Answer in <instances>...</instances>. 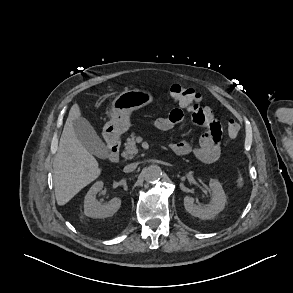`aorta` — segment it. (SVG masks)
Returning a JSON list of instances; mask_svg holds the SVG:
<instances>
[{"mask_svg":"<svg viewBox=\"0 0 293 293\" xmlns=\"http://www.w3.org/2000/svg\"><path fill=\"white\" fill-rule=\"evenodd\" d=\"M144 177L147 182H157L162 177V170L158 165H151L144 170Z\"/></svg>","mask_w":293,"mask_h":293,"instance_id":"obj_1","label":"aorta"}]
</instances>
